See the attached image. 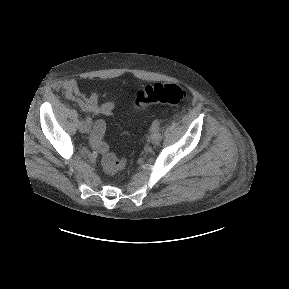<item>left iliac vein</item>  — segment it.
I'll return each mask as SVG.
<instances>
[{"instance_id":"left-iliac-vein-1","label":"left iliac vein","mask_w":289,"mask_h":289,"mask_svg":"<svg viewBox=\"0 0 289 289\" xmlns=\"http://www.w3.org/2000/svg\"><path fill=\"white\" fill-rule=\"evenodd\" d=\"M150 141L152 143H157L161 139V134L158 128L152 129L150 134Z\"/></svg>"}]
</instances>
